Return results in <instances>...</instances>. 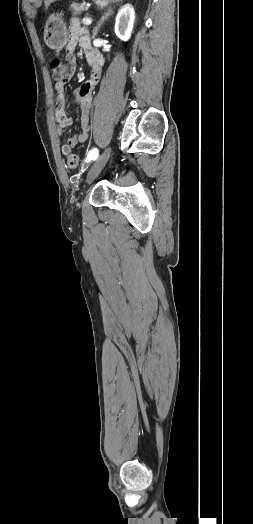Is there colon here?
<instances>
[{"instance_id": "5ec220e1", "label": "colon", "mask_w": 253, "mask_h": 524, "mask_svg": "<svg viewBox=\"0 0 253 524\" xmlns=\"http://www.w3.org/2000/svg\"><path fill=\"white\" fill-rule=\"evenodd\" d=\"M49 67H50V70H51L52 78L55 81L59 82V80L61 78V75L63 73H65V71H66L67 62L62 61L61 59H52L49 62ZM67 163H68V166L70 168L75 169V168L79 167L80 159H79L78 155L70 154V155H68Z\"/></svg>"}]
</instances>
